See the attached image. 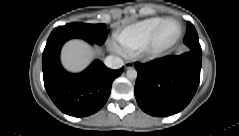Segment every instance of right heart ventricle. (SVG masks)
<instances>
[{"label":"right heart ventricle","instance_id":"1","mask_svg":"<svg viewBox=\"0 0 239 136\" xmlns=\"http://www.w3.org/2000/svg\"><path fill=\"white\" fill-rule=\"evenodd\" d=\"M161 23L160 20H149L120 32L117 35L120 48L125 50L144 43Z\"/></svg>","mask_w":239,"mask_h":136}]
</instances>
